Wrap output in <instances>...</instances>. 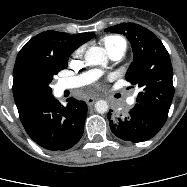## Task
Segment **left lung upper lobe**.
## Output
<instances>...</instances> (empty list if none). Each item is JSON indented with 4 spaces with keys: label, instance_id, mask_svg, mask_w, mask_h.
<instances>
[{
    "label": "left lung upper lobe",
    "instance_id": "left-lung-upper-lobe-1",
    "mask_svg": "<svg viewBox=\"0 0 187 187\" xmlns=\"http://www.w3.org/2000/svg\"><path fill=\"white\" fill-rule=\"evenodd\" d=\"M106 32L124 34L131 42L134 58L126 80L140 89L137 103L168 114L174 95L169 54L151 31L134 23L111 26Z\"/></svg>",
    "mask_w": 187,
    "mask_h": 187
}]
</instances>
